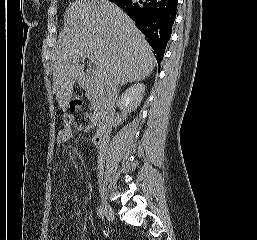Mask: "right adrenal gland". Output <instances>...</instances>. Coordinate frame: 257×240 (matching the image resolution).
I'll use <instances>...</instances> for the list:
<instances>
[{
  "label": "right adrenal gland",
  "mask_w": 257,
  "mask_h": 240,
  "mask_svg": "<svg viewBox=\"0 0 257 240\" xmlns=\"http://www.w3.org/2000/svg\"><path fill=\"white\" fill-rule=\"evenodd\" d=\"M122 86H123V84H121V85L119 86L117 96L119 95Z\"/></svg>",
  "instance_id": "right-adrenal-gland-1"
}]
</instances>
